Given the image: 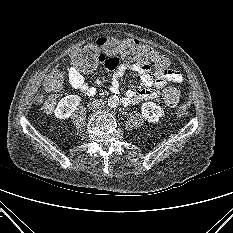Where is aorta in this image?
<instances>
[{"mask_svg": "<svg viewBox=\"0 0 233 233\" xmlns=\"http://www.w3.org/2000/svg\"><path fill=\"white\" fill-rule=\"evenodd\" d=\"M119 103V98L118 96L114 95V96H111L108 100V105L110 107H116Z\"/></svg>", "mask_w": 233, "mask_h": 233, "instance_id": "obj_1", "label": "aorta"}]
</instances>
